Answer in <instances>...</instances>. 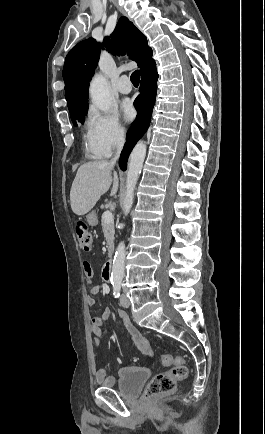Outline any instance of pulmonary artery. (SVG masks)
Returning a JSON list of instances; mask_svg holds the SVG:
<instances>
[{"label":"pulmonary artery","mask_w":265,"mask_h":434,"mask_svg":"<svg viewBox=\"0 0 265 434\" xmlns=\"http://www.w3.org/2000/svg\"><path fill=\"white\" fill-rule=\"evenodd\" d=\"M128 79L129 78L127 75H123L120 79L121 81H117V84H116L117 90L122 94H128L131 92V87H132L131 82L125 81Z\"/></svg>","instance_id":"obj_1"}]
</instances>
